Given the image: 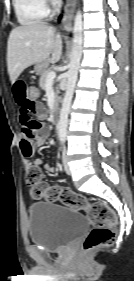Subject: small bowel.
I'll return each mask as SVG.
<instances>
[{
  "label": "small bowel",
  "instance_id": "c3829d8e",
  "mask_svg": "<svg viewBox=\"0 0 134 281\" xmlns=\"http://www.w3.org/2000/svg\"><path fill=\"white\" fill-rule=\"evenodd\" d=\"M12 91L19 107V119L22 125L20 148L28 159L26 167H40L43 161L36 156V148L45 144L49 137L48 128L40 122L46 117V108L39 101L29 100L28 84L23 79H16L13 82ZM44 169L49 173L55 172V167L51 164H45Z\"/></svg>",
  "mask_w": 134,
  "mask_h": 281
}]
</instances>
